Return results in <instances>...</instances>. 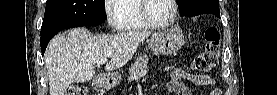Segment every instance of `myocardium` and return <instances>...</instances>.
<instances>
[{
  "label": "myocardium",
  "mask_w": 277,
  "mask_h": 95,
  "mask_svg": "<svg viewBox=\"0 0 277 95\" xmlns=\"http://www.w3.org/2000/svg\"><path fill=\"white\" fill-rule=\"evenodd\" d=\"M173 6V13L172 16L170 17L169 20L159 23L154 21L147 13V6H148V2L149 0H142V4H141V14L142 17L144 18V20L146 21V23L153 28H166L171 26L175 20L176 17L178 15V4L176 0H170Z\"/></svg>",
  "instance_id": "f54148a6"
}]
</instances>
